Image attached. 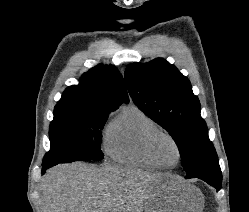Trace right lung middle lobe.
Wrapping results in <instances>:
<instances>
[{"label":"right lung middle lobe","instance_id":"obj_1","mask_svg":"<svg viewBox=\"0 0 249 212\" xmlns=\"http://www.w3.org/2000/svg\"><path fill=\"white\" fill-rule=\"evenodd\" d=\"M114 110L58 102L49 129L51 150L42 164L102 160L101 130Z\"/></svg>","mask_w":249,"mask_h":212}]
</instances>
